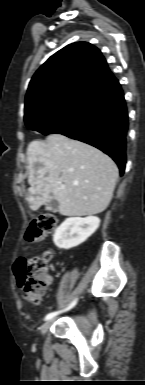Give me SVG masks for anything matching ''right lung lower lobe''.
Returning a JSON list of instances; mask_svg holds the SVG:
<instances>
[{"label":"right lung lower lobe","instance_id":"1","mask_svg":"<svg viewBox=\"0 0 145 385\" xmlns=\"http://www.w3.org/2000/svg\"><path fill=\"white\" fill-rule=\"evenodd\" d=\"M128 125L124 94L119 82L115 81L100 90L79 113L53 133L100 149L116 162L123 175Z\"/></svg>","mask_w":145,"mask_h":385}]
</instances>
